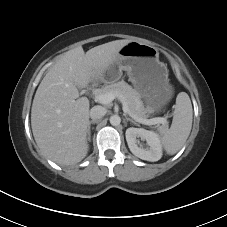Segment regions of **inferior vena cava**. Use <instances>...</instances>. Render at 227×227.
<instances>
[{
  "label": "inferior vena cava",
  "mask_w": 227,
  "mask_h": 227,
  "mask_svg": "<svg viewBox=\"0 0 227 227\" xmlns=\"http://www.w3.org/2000/svg\"><path fill=\"white\" fill-rule=\"evenodd\" d=\"M106 114V109L102 106H94L92 107V109L90 110V117L93 120H97L102 118L104 115Z\"/></svg>",
  "instance_id": "inferior-vena-cava-1"
}]
</instances>
